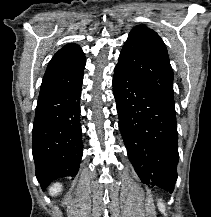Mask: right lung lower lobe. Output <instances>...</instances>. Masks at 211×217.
Instances as JSON below:
<instances>
[{
	"label": "right lung lower lobe",
	"instance_id": "98d812e1",
	"mask_svg": "<svg viewBox=\"0 0 211 217\" xmlns=\"http://www.w3.org/2000/svg\"><path fill=\"white\" fill-rule=\"evenodd\" d=\"M83 73L76 82L40 97L33 123V158L43 190L61 177L76 176L82 157L80 97Z\"/></svg>",
	"mask_w": 211,
	"mask_h": 217
}]
</instances>
